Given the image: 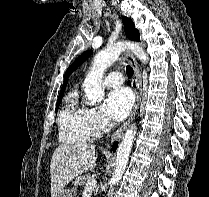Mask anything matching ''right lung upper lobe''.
I'll return each mask as SVG.
<instances>
[{"mask_svg": "<svg viewBox=\"0 0 209 197\" xmlns=\"http://www.w3.org/2000/svg\"><path fill=\"white\" fill-rule=\"evenodd\" d=\"M66 85H67V81L62 85L58 100L63 98Z\"/></svg>", "mask_w": 209, "mask_h": 197, "instance_id": "obj_1", "label": "right lung upper lobe"}]
</instances>
